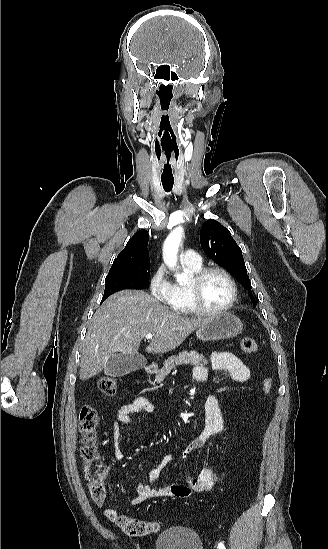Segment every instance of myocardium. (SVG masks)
Segmentation results:
<instances>
[{"label": "myocardium", "mask_w": 328, "mask_h": 549, "mask_svg": "<svg viewBox=\"0 0 328 549\" xmlns=\"http://www.w3.org/2000/svg\"><path fill=\"white\" fill-rule=\"evenodd\" d=\"M213 271H218L223 275H225L232 287V296L229 302L219 309H208L201 306L204 304V302L200 297V285L204 280V278L210 272H213ZM186 287H187V293H188L189 299L191 301V304L188 305V307L197 316L224 315L230 312L234 308L238 299V293H239L238 284L234 276L225 266L219 263L204 264L201 269H199L197 272L190 275Z\"/></svg>", "instance_id": "1"}]
</instances>
